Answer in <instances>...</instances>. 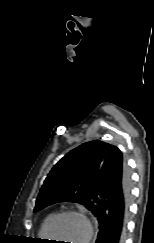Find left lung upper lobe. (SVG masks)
I'll list each match as a JSON object with an SVG mask.
<instances>
[{"instance_id":"obj_1","label":"left lung upper lobe","mask_w":154,"mask_h":243,"mask_svg":"<svg viewBox=\"0 0 154 243\" xmlns=\"http://www.w3.org/2000/svg\"><path fill=\"white\" fill-rule=\"evenodd\" d=\"M112 148L115 146L95 140L66 154L44 181L34 212L56 202L69 201L85 206L95 215L94 183Z\"/></svg>"}]
</instances>
